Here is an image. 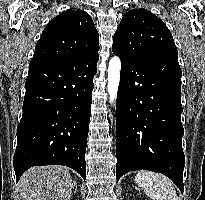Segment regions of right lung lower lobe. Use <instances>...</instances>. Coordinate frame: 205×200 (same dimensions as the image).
Listing matches in <instances>:
<instances>
[{
	"instance_id": "right-lung-lower-lobe-1",
	"label": "right lung lower lobe",
	"mask_w": 205,
	"mask_h": 200,
	"mask_svg": "<svg viewBox=\"0 0 205 200\" xmlns=\"http://www.w3.org/2000/svg\"><path fill=\"white\" fill-rule=\"evenodd\" d=\"M98 54L74 62L31 61L14 154L16 182L30 167L66 165L85 180Z\"/></svg>"
}]
</instances>
